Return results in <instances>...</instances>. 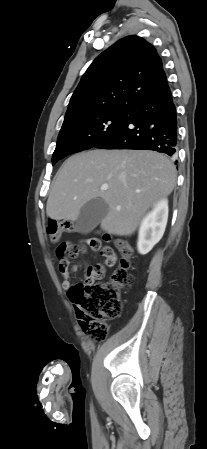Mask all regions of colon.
Listing matches in <instances>:
<instances>
[{"mask_svg": "<svg viewBox=\"0 0 207 449\" xmlns=\"http://www.w3.org/2000/svg\"><path fill=\"white\" fill-rule=\"evenodd\" d=\"M46 231L52 242H58L63 233L74 232L75 227L68 220H53L48 223ZM115 247L121 256L120 263L108 281L98 279L103 276L105 266L114 265V251L109 246H103L99 237H92L81 243H60L57 248L59 265L63 267L68 266L69 260L77 258L87 248L99 251L104 257V263L95 268L96 275L93 280L77 283L68 290V297L76 307L82 328L91 338L97 340L108 334L109 327L105 320L119 317L122 309L121 293L133 281L129 273L134 268L130 243L125 239H116Z\"/></svg>", "mask_w": 207, "mask_h": 449, "instance_id": "colon-1", "label": "colon"}]
</instances>
